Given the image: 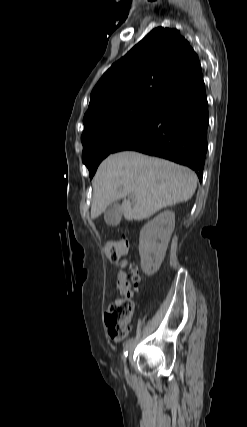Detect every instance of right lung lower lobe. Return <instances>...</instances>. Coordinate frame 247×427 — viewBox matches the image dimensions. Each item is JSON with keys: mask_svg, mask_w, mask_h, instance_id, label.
Listing matches in <instances>:
<instances>
[{"mask_svg": "<svg viewBox=\"0 0 247 427\" xmlns=\"http://www.w3.org/2000/svg\"><path fill=\"white\" fill-rule=\"evenodd\" d=\"M208 118L201 75L166 97L151 119L115 152L133 150L165 158L190 167L202 181Z\"/></svg>", "mask_w": 247, "mask_h": 427, "instance_id": "right-lung-lower-lobe-1", "label": "right lung lower lobe"}]
</instances>
